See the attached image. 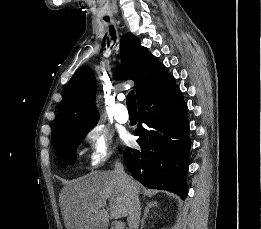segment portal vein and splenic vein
Wrapping results in <instances>:
<instances>
[{
	"label": "portal vein and splenic vein",
	"instance_id": "1",
	"mask_svg": "<svg viewBox=\"0 0 261 229\" xmlns=\"http://www.w3.org/2000/svg\"><path fill=\"white\" fill-rule=\"evenodd\" d=\"M115 229H124L123 223H119V221H117Z\"/></svg>",
	"mask_w": 261,
	"mask_h": 229
}]
</instances>
